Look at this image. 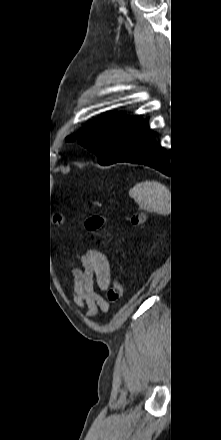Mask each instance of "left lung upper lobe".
Listing matches in <instances>:
<instances>
[{"instance_id": "obj_1", "label": "left lung upper lobe", "mask_w": 221, "mask_h": 440, "mask_svg": "<svg viewBox=\"0 0 221 440\" xmlns=\"http://www.w3.org/2000/svg\"><path fill=\"white\" fill-rule=\"evenodd\" d=\"M141 121L142 118L109 112L81 129L76 137L81 145L98 156L101 165H109L123 156ZM66 140L73 141L74 138L67 137Z\"/></svg>"}]
</instances>
